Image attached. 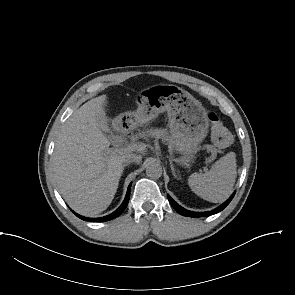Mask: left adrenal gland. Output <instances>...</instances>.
Wrapping results in <instances>:
<instances>
[{
  "label": "left adrenal gland",
  "instance_id": "1",
  "mask_svg": "<svg viewBox=\"0 0 295 295\" xmlns=\"http://www.w3.org/2000/svg\"><path fill=\"white\" fill-rule=\"evenodd\" d=\"M169 162H170V168H171V171H172L173 176H174L176 179L180 180L181 177L178 176V175L176 174V172H175V168H174V165H173V162H172V160H171L170 158H169Z\"/></svg>",
  "mask_w": 295,
  "mask_h": 295
}]
</instances>
